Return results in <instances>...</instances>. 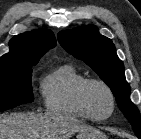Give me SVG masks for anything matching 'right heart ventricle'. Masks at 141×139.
<instances>
[{"mask_svg": "<svg viewBox=\"0 0 141 139\" xmlns=\"http://www.w3.org/2000/svg\"><path fill=\"white\" fill-rule=\"evenodd\" d=\"M86 77L73 65L63 64L50 71L40 83V91L47 111L89 119L79 105L77 90Z\"/></svg>", "mask_w": 141, "mask_h": 139, "instance_id": "right-heart-ventricle-1", "label": "right heart ventricle"}]
</instances>
